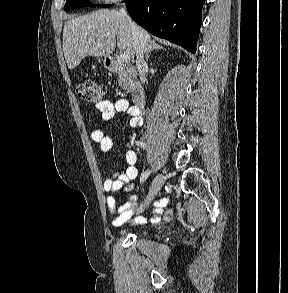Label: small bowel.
<instances>
[{"label": "small bowel", "mask_w": 288, "mask_h": 293, "mask_svg": "<svg viewBox=\"0 0 288 293\" xmlns=\"http://www.w3.org/2000/svg\"><path fill=\"white\" fill-rule=\"evenodd\" d=\"M96 109L100 112V125L103 126L110 121L116 114L126 113L130 117V127L136 128L142 125L140 110L135 106H130L126 99L102 100L96 104ZM91 140L98 145L101 153L109 152L113 147V140L106 135L101 128L92 131ZM126 168L115 172L114 176L103 183V189L107 193L106 204L112 214H117L113 220V225L118 227L132 218L138 204V197L131 195L125 204L117 207L116 200L112 193L117 191H129L132 187V181L136 179L138 171L136 168L137 154L134 150H128L125 154ZM166 199L161 200L154 209L153 223L159 221V215L166 204ZM143 217H137L136 223H144Z\"/></svg>", "instance_id": "1"}]
</instances>
